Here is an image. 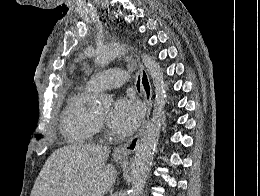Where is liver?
Here are the masks:
<instances>
[{"label": "liver", "mask_w": 260, "mask_h": 196, "mask_svg": "<svg viewBox=\"0 0 260 196\" xmlns=\"http://www.w3.org/2000/svg\"><path fill=\"white\" fill-rule=\"evenodd\" d=\"M108 146H64L45 162L30 196H105L117 172L107 164Z\"/></svg>", "instance_id": "obj_1"}]
</instances>
